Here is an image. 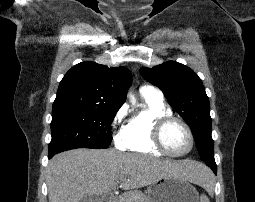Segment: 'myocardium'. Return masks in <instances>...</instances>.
<instances>
[{"label":"myocardium","mask_w":255,"mask_h":202,"mask_svg":"<svg viewBox=\"0 0 255 202\" xmlns=\"http://www.w3.org/2000/svg\"><path fill=\"white\" fill-rule=\"evenodd\" d=\"M171 123H179L180 125H182L189 136L190 145H189V148L184 152H181V153L173 152L164 143V138H163L164 131L166 127L170 125ZM152 141L154 145L162 153L169 156H173V157H181V156L187 155L188 153L192 151L195 144L194 134L190 126L183 119L173 115L162 116L155 121L153 125V129H152Z\"/></svg>","instance_id":"1"}]
</instances>
